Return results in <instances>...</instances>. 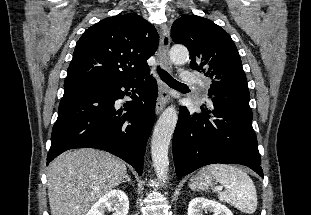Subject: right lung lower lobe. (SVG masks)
<instances>
[{
  "label": "right lung lower lobe",
  "mask_w": 311,
  "mask_h": 215,
  "mask_svg": "<svg viewBox=\"0 0 311 215\" xmlns=\"http://www.w3.org/2000/svg\"><path fill=\"white\" fill-rule=\"evenodd\" d=\"M58 118L52 129L47 165L73 148H97L129 163L139 175L147 139L154 123L157 82L97 79L64 86ZM131 93H127L128 90ZM132 101L123 110L115 105L124 95Z\"/></svg>",
  "instance_id": "1"
}]
</instances>
